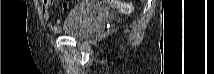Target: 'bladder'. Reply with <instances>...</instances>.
Returning a JSON list of instances; mask_svg holds the SVG:
<instances>
[{
  "mask_svg": "<svg viewBox=\"0 0 214 74\" xmlns=\"http://www.w3.org/2000/svg\"><path fill=\"white\" fill-rule=\"evenodd\" d=\"M107 12L95 2H83L77 6L61 27L66 36L85 39L92 36L97 26L104 23Z\"/></svg>",
  "mask_w": 214,
  "mask_h": 74,
  "instance_id": "bladder-1",
  "label": "bladder"
}]
</instances>
